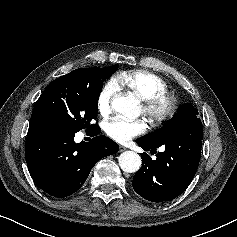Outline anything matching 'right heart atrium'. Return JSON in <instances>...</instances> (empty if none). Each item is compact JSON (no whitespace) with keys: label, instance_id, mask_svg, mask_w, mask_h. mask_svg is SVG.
<instances>
[{"label":"right heart atrium","instance_id":"obj_1","mask_svg":"<svg viewBox=\"0 0 237 237\" xmlns=\"http://www.w3.org/2000/svg\"><path fill=\"white\" fill-rule=\"evenodd\" d=\"M118 91V86L113 80L107 81L100 89L97 96V110L101 115H107L111 109V102Z\"/></svg>","mask_w":237,"mask_h":237}]
</instances>
